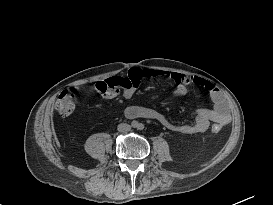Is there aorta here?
<instances>
[{
  "label": "aorta",
  "instance_id": "762f6f07",
  "mask_svg": "<svg viewBox=\"0 0 273 205\" xmlns=\"http://www.w3.org/2000/svg\"><path fill=\"white\" fill-rule=\"evenodd\" d=\"M141 126H142L141 123H137L135 127L138 128V129H140Z\"/></svg>",
  "mask_w": 273,
  "mask_h": 205
}]
</instances>
